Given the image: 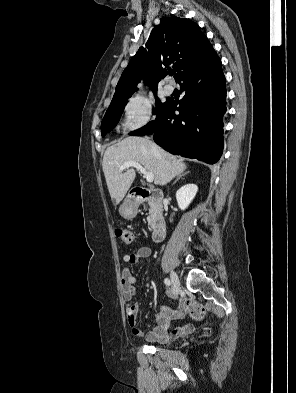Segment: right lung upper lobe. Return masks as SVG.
Instances as JSON below:
<instances>
[{"label": "right lung upper lobe", "instance_id": "1", "mask_svg": "<svg viewBox=\"0 0 296 393\" xmlns=\"http://www.w3.org/2000/svg\"><path fill=\"white\" fill-rule=\"evenodd\" d=\"M211 46L199 26L177 17L161 18L152 29L145 47L132 57L116 86L112 101L130 98L142 78L155 89L172 66L175 80L197 62Z\"/></svg>", "mask_w": 296, "mask_h": 393}]
</instances>
